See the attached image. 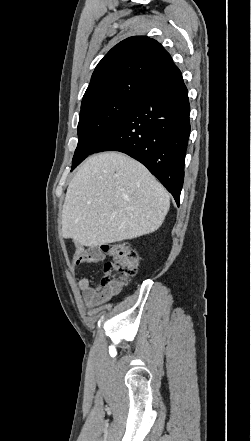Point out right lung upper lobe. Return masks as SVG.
<instances>
[{
	"mask_svg": "<svg viewBox=\"0 0 251 441\" xmlns=\"http://www.w3.org/2000/svg\"><path fill=\"white\" fill-rule=\"evenodd\" d=\"M180 70L156 40L129 37L114 46L98 63L83 96L81 108L120 96H142Z\"/></svg>",
	"mask_w": 251,
	"mask_h": 441,
	"instance_id": "right-lung-upper-lobe-1",
	"label": "right lung upper lobe"
}]
</instances>
